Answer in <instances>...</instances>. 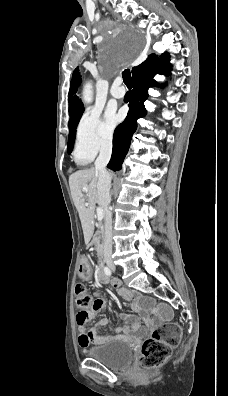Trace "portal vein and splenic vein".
Here are the masks:
<instances>
[{"instance_id":"portal-vein-and-splenic-vein-1","label":"portal vein and splenic vein","mask_w":228,"mask_h":396,"mask_svg":"<svg viewBox=\"0 0 228 396\" xmlns=\"http://www.w3.org/2000/svg\"><path fill=\"white\" fill-rule=\"evenodd\" d=\"M83 189H84V191L86 190V188H83ZM96 212H97L98 220L101 221L103 219V210H102V208L98 207Z\"/></svg>"}]
</instances>
